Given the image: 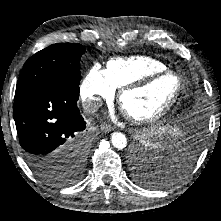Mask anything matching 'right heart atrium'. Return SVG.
Masks as SVG:
<instances>
[{
	"mask_svg": "<svg viewBox=\"0 0 221 221\" xmlns=\"http://www.w3.org/2000/svg\"><path fill=\"white\" fill-rule=\"evenodd\" d=\"M114 94L115 87L105 70L95 64L85 75L80 87V96L85 108L94 111L101 105L103 99H111Z\"/></svg>",
	"mask_w": 221,
	"mask_h": 221,
	"instance_id": "right-heart-atrium-1",
	"label": "right heart atrium"
}]
</instances>
